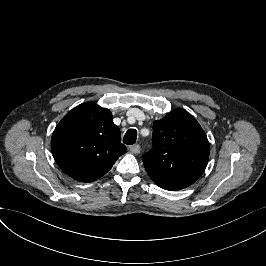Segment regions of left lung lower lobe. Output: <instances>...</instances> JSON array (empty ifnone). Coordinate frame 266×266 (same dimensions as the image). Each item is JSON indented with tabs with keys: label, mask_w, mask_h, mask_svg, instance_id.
Segmentation results:
<instances>
[{
	"label": "left lung lower lobe",
	"mask_w": 266,
	"mask_h": 266,
	"mask_svg": "<svg viewBox=\"0 0 266 266\" xmlns=\"http://www.w3.org/2000/svg\"><path fill=\"white\" fill-rule=\"evenodd\" d=\"M159 187L163 188V189H166V190H170V191H175V190H180V189H177L173 186H170V185H167V184H163V183H159V182H156L154 181Z\"/></svg>",
	"instance_id": "obj_1"
}]
</instances>
